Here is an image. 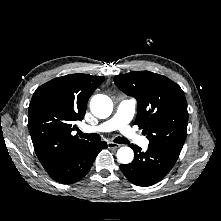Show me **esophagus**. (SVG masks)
<instances>
[{
  "label": "esophagus",
  "mask_w": 221,
  "mask_h": 221,
  "mask_svg": "<svg viewBox=\"0 0 221 221\" xmlns=\"http://www.w3.org/2000/svg\"><path fill=\"white\" fill-rule=\"evenodd\" d=\"M107 146L109 149H118L121 145L120 144H117V143H114V142H111L109 141L107 143Z\"/></svg>",
  "instance_id": "1"
}]
</instances>
